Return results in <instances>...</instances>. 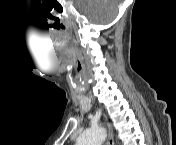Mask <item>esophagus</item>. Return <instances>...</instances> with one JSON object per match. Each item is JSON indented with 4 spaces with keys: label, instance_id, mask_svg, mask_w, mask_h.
<instances>
[{
    "label": "esophagus",
    "instance_id": "esophagus-1",
    "mask_svg": "<svg viewBox=\"0 0 176 145\" xmlns=\"http://www.w3.org/2000/svg\"><path fill=\"white\" fill-rule=\"evenodd\" d=\"M107 128H108V137H107L106 145H114V137H113L112 129L109 125H107Z\"/></svg>",
    "mask_w": 176,
    "mask_h": 145
}]
</instances>
